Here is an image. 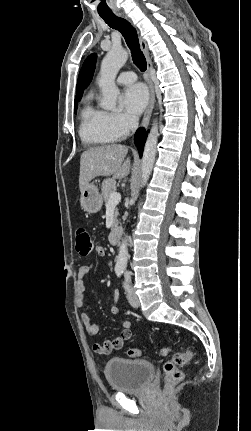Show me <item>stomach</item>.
Instances as JSON below:
<instances>
[{
  "mask_svg": "<svg viewBox=\"0 0 251 431\" xmlns=\"http://www.w3.org/2000/svg\"><path fill=\"white\" fill-rule=\"evenodd\" d=\"M80 204L82 209L88 213H97L101 210L103 198L99 189L93 183H89L81 191Z\"/></svg>",
  "mask_w": 251,
  "mask_h": 431,
  "instance_id": "obj_1",
  "label": "stomach"
}]
</instances>
